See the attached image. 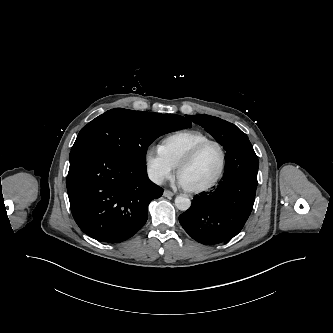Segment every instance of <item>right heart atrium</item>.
<instances>
[{"label": "right heart atrium", "mask_w": 333, "mask_h": 333, "mask_svg": "<svg viewBox=\"0 0 333 333\" xmlns=\"http://www.w3.org/2000/svg\"><path fill=\"white\" fill-rule=\"evenodd\" d=\"M145 165L149 177L157 184L171 179L176 167L157 147L151 146L145 152Z\"/></svg>", "instance_id": "d8ad5b80"}]
</instances>
